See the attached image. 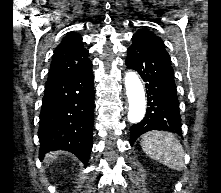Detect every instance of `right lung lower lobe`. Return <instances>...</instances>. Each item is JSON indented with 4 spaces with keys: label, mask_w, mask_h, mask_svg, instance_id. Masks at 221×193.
Instances as JSON below:
<instances>
[{
    "label": "right lung lower lobe",
    "mask_w": 221,
    "mask_h": 193,
    "mask_svg": "<svg viewBox=\"0 0 221 193\" xmlns=\"http://www.w3.org/2000/svg\"><path fill=\"white\" fill-rule=\"evenodd\" d=\"M94 87L92 62L68 75L47 80L38 137L40 159L49 151L65 150L85 165L92 148Z\"/></svg>",
    "instance_id": "right-lung-lower-lobe-1"
}]
</instances>
